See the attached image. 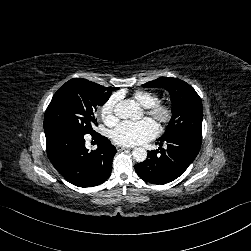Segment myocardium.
Returning a JSON list of instances; mask_svg holds the SVG:
<instances>
[{"mask_svg":"<svg viewBox=\"0 0 251 251\" xmlns=\"http://www.w3.org/2000/svg\"><path fill=\"white\" fill-rule=\"evenodd\" d=\"M145 113L156 120L161 125H169L175 118V108L170 102L159 101L149 108H145Z\"/></svg>","mask_w":251,"mask_h":251,"instance_id":"obj_1","label":"myocardium"}]
</instances>
